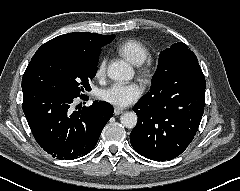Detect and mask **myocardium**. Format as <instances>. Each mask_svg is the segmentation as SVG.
<instances>
[{"mask_svg":"<svg viewBox=\"0 0 240 191\" xmlns=\"http://www.w3.org/2000/svg\"><path fill=\"white\" fill-rule=\"evenodd\" d=\"M140 74L143 76V77H146V78H150L153 74V69L151 67V65L149 63H146V64H143L141 67H140Z\"/></svg>","mask_w":240,"mask_h":191,"instance_id":"myocardium-1","label":"myocardium"}]
</instances>
